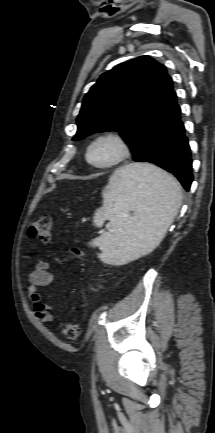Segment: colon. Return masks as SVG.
<instances>
[{"label":"colon","instance_id":"1","mask_svg":"<svg viewBox=\"0 0 215 433\" xmlns=\"http://www.w3.org/2000/svg\"><path fill=\"white\" fill-rule=\"evenodd\" d=\"M52 232V220L49 216H42L34 220L28 230V236L31 239H38L43 243H48L51 238ZM72 255L76 258H80V252L77 249L71 250ZM62 334L67 340H75L80 335V324L79 323H67L62 329Z\"/></svg>","mask_w":215,"mask_h":433}]
</instances>
